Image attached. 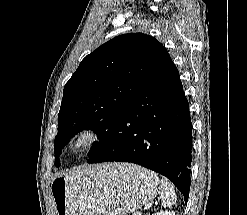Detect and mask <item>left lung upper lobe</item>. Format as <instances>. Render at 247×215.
<instances>
[{
	"mask_svg": "<svg viewBox=\"0 0 247 215\" xmlns=\"http://www.w3.org/2000/svg\"><path fill=\"white\" fill-rule=\"evenodd\" d=\"M168 54L154 37L142 33L117 36L87 55L63 90L54 151L58 156L69 139L93 130L99 151L141 86Z\"/></svg>",
	"mask_w": 247,
	"mask_h": 215,
	"instance_id": "obj_1",
	"label": "left lung upper lobe"
}]
</instances>
